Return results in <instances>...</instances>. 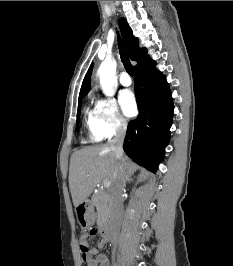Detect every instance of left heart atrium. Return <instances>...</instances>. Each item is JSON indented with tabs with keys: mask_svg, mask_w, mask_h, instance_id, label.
I'll use <instances>...</instances> for the list:
<instances>
[{
	"mask_svg": "<svg viewBox=\"0 0 233 266\" xmlns=\"http://www.w3.org/2000/svg\"><path fill=\"white\" fill-rule=\"evenodd\" d=\"M119 100L122 111L126 116L132 117L136 114L137 112L136 99L131 91L129 90L122 91Z\"/></svg>",
	"mask_w": 233,
	"mask_h": 266,
	"instance_id": "obj_1",
	"label": "left heart atrium"
}]
</instances>
